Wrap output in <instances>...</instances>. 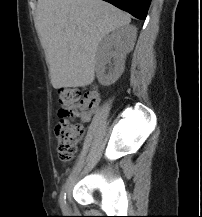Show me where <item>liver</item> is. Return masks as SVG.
Instances as JSON below:
<instances>
[{
    "label": "liver",
    "mask_w": 202,
    "mask_h": 217,
    "mask_svg": "<svg viewBox=\"0 0 202 217\" xmlns=\"http://www.w3.org/2000/svg\"><path fill=\"white\" fill-rule=\"evenodd\" d=\"M130 21L128 14L102 0H38L35 27L53 87L90 85L100 42Z\"/></svg>",
    "instance_id": "6515ba94"
}]
</instances>
